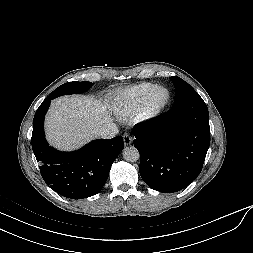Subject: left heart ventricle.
<instances>
[{
    "instance_id": "left-heart-ventricle-1",
    "label": "left heart ventricle",
    "mask_w": 253,
    "mask_h": 253,
    "mask_svg": "<svg viewBox=\"0 0 253 253\" xmlns=\"http://www.w3.org/2000/svg\"><path fill=\"white\" fill-rule=\"evenodd\" d=\"M166 93L164 91H159L156 95H155V103H160L165 99Z\"/></svg>"
}]
</instances>
